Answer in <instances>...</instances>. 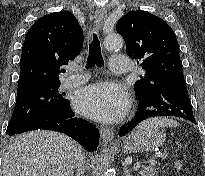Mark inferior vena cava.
<instances>
[{
    "instance_id": "inferior-vena-cava-1",
    "label": "inferior vena cava",
    "mask_w": 205,
    "mask_h": 176,
    "mask_svg": "<svg viewBox=\"0 0 205 176\" xmlns=\"http://www.w3.org/2000/svg\"><path fill=\"white\" fill-rule=\"evenodd\" d=\"M78 169H77V176H80L82 174V176H84V171H85V161H84V155L81 154L78 157L77 163H76Z\"/></svg>"
}]
</instances>
